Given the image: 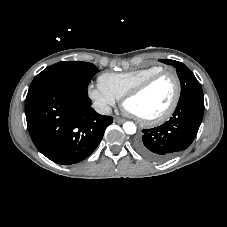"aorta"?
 I'll return each mask as SVG.
<instances>
[{
    "mask_svg": "<svg viewBox=\"0 0 227 227\" xmlns=\"http://www.w3.org/2000/svg\"><path fill=\"white\" fill-rule=\"evenodd\" d=\"M123 130L127 134H135L136 133V125L133 122L127 121L123 124Z\"/></svg>",
    "mask_w": 227,
    "mask_h": 227,
    "instance_id": "762f6f07",
    "label": "aorta"
}]
</instances>
